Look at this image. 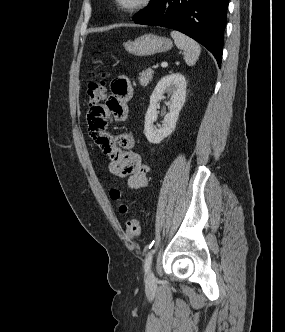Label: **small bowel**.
Masks as SVG:
<instances>
[{
	"instance_id": "1",
	"label": "small bowel",
	"mask_w": 285,
	"mask_h": 332,
	"mask_svg": "<svg viewBox=\"0 0 285 332\" xmlns=\"http://www.w3.org/2000/svg\"><path fill=\"white\" fill-rule=\"evenodd\" d=\"M111 92L104 104L89 109V132L107 157L112 173L127 178V187L131 190L144 188L148 184L149 169L140 154L134 150L133 135L127 132L110 135L105 131L109 121L120 122L127 119L128 102L133 94L129 79L124 75L115 77L111 82Z\"/></svg>"
}]
</instances>
